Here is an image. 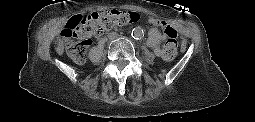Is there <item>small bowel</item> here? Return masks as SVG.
I'll use <instances>...</instances> for the list:
<instances>
[{"instance_id":"c3829d8e","label":"small bowel","mask_w":255,"mask_h":122,"mask_svg":"<svg viewBox=\"0 0 255 122\" xmlns=\"http://www.w3.org/2000/svg\"><path fill=\"white\" fill-rule=\"evenodd\" d=\"M149 22L154 27L148 33L147 46L154 51L155 55L161 56L162 50L159 45L165 39V35L158 29V26L163 25L164 22L155 18H150Z\"/></svg>"}]
</instances>
